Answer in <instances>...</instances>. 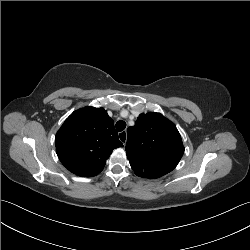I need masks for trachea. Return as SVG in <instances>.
Listing matches in <instances>:
<instances>
[{
  "label": "trachea",
  "instance_id": "1",
  "mask_svg": "<svg viewBox=\"0 0 250 250\" xmlns=\"http://www.w3.org/2000/svg\"><path fill=\"white\" fill-rule=\"evenodd\" d=\"M126 128V123L124 121H118L116 123V129L118 132L123 131Z\"/></svg>",
  "mask_w": 250,
  "mask_h": 250
}]
</instances>
